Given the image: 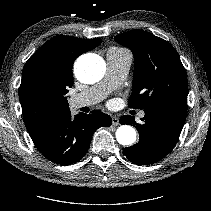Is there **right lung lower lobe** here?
<instances>
[{"label":"right lung lower lobe","mask_w":211,"mask_h":211,"mask_svg":"<svg viewBox=\"0 0 211 211\" xmlns=\"http://www.w3.org/2000/svg\"><path fill=\"white\" fill-rule=\"evenodd\" d=\"M111 123V117L98 110L89 115L79 113L74 117L67 110L30 137L48 160L70 165L84 157L95 130L102 126L109 127Z\"/></svg>","instance_id":"right-lung-lower-lobe-1"}]
</instances>
